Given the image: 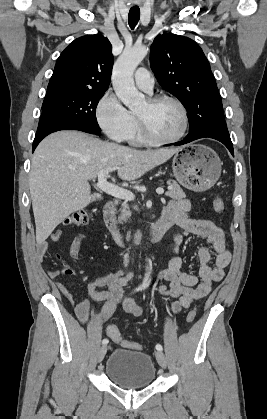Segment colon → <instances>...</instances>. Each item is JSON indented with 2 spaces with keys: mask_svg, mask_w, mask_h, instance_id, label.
<instances>
[{
  "mask_svg": "<svg viewBox=\"0 0 267 419\" xmlns=\"http://www.w3.org/2000/svg\"><path fill=\"white\" fill-rule=\"evenodd\" d=\"M213 208L216 212L220 213L224 210L225 204L221 197H216L213 200ZM91 219V213L90 211L86 209H80L76 210L73 213H71L65 220L64 225H85L87 224ZM64 273H72V270L70 268H65ZM197 311L195 308L191 309L187 314V322L194 321L196 317ZM108 336L112 339V341L120 344L123 347L130 348L133 350H142L143 346L139 343L130 341L126 338H124L118 329L114 325H110L107 328Z\"/></svg>",
  "mask_w": 267,
  "mask_h": 419,
  "instance_id": "1",
  "label": "colon"
}]
</instances>
